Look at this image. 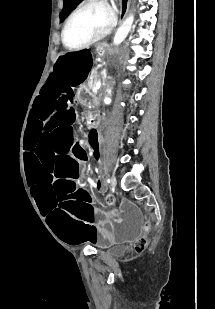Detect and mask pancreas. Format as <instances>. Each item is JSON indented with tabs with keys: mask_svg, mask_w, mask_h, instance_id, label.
<instances>
[{
	"mask_svg": "<svg viewBox=\"0 0 215 309\" xmlns=\"http://www.w3.org/2000/svg\"><path fill=\"white\" fill-rule=\"evenodd\" d=\"M96 82H97V78H89V80H88L89 88H94ZM95 94H96V92H95Z\"/></svg>",
	"mask_w": 215,
	"mask_h": 309,
	"instance_id": "1",
	"label": "pancreas"
}]
</instances>
